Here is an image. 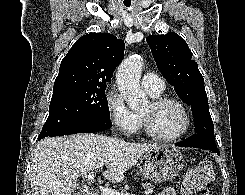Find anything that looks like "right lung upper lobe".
<instances>
[{"instance_id": "right-lung-upper-lobe-1", "label": "right lung upper lobe", "mask_w": 245, "mask_h": 195, "mask_svg": "<svg viewBox=\"0 0 245 195\" xmlns=\"http://www.w3.org/2000/svg\"><path fill=\"white\" fill-rule=\"evenodd\" d=\"M125 44L109 33L82 36L62 59L53 92L105 87L124 57Z\"/></svg>"}]
</instances>
